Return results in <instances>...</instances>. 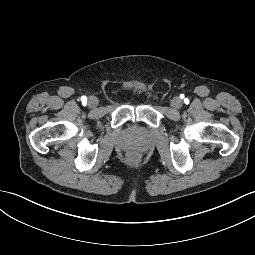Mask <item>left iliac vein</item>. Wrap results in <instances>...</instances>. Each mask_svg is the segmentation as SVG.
Wrapping results in <instances>:
<instances>
[{
	"label": "left iliac vein",
	"instance_id": "1",
	"mask_svg": "<svg viewBox=\"0 0 255 255\" xmlns=\"http://www.w3.org/2000/svg\"><path fill=\"white\" fill-rule=\"evenodd\" d=\"M171 106L175 109H179L182 106V101L180 98L178 97H174L171 102H170Z\"/></svg>",
	"mask_w": 255,
	"mask_h": 255
}]
</instances>
